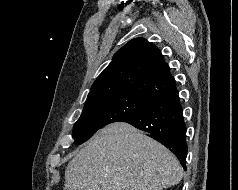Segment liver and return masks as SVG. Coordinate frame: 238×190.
Segmentation results:
<instances>
[{
    "mask_svg": "<svg viewBox=\"0 0 238 190\" xmlns=\"http://www.w3.org/2000/svg\"><path fill=\"white\" fill-rule=\"evenodd\" d=\"M182 176L179 161L166 147L132 125L116 122L74 155L64 190H163Z\"/></svg>",
    "mask_w": 238,
    "mask_h": 190,
    "instance_id": "obj_1",
    "label": "liver"
}]
</instances>
